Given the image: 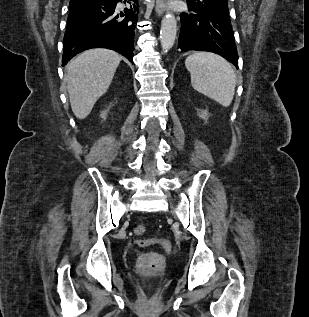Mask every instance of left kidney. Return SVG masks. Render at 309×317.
Returning <instances> with one entry per match:
<instances>
[{"mask_svg":"<svg viewBox=\"0 0 309 317\" xmlns=\"http://www.w3.org/2000/svg\"><path fill=\"white\" fill-rule=\"evenodd\" d=\"M207 115H208V113H207V112H203V113H202V115H201V118H203V119H207Z\"/></svg>","mask_w":309,"mask_h":317,"instance_id":"left-kidney-1","label":"left kidney"}]
</instances>
